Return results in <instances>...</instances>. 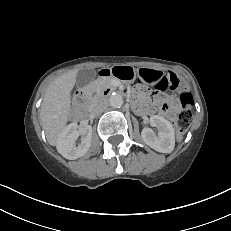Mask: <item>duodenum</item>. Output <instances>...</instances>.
Here are the masks:
<instances>
[{"mask_svg":"<svg viewBox=\"0 0 231 231\" xmlns=\"http://www.w3.org/2000/svg\"><path fill=\"white\" fill-rule=\"evenodd\" d=\"M109 92V89L104 91V95H107ZM89 96V93L87 91H81L79 96H78V103H80L81 101H85ZM74 115L75 117H77L78 119L84 121L87 119V114L82 113L81 110L77 107L74 109Z\"/></svg>","mask_w":231,"mask_h":231,"instance_id":"1","label":"duodenum"}]
</instances>
